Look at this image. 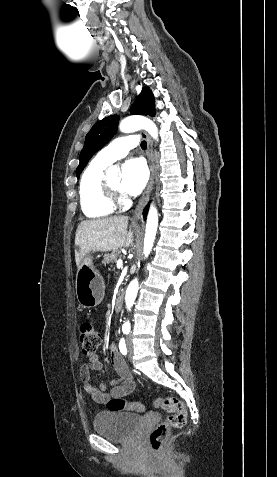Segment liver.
Here are the masks:
<instances>
[{"label": "liver", "mask_w": 277, "mask_h": 477, "mask_svg": "<svg viewBox=\"0 0 277 477\" xmlns=\"http://www.w3.org/2000/svg\"><path fill=\"white\" fill-rule=\"evenodd\" d=\"M127 216L82 221L76 230L75 261L79 268L83 258L90 252L115 251L121 247H129L133 242V232L127 231Z\"/></svg>", "instance_id": "liver-1"}]
</instances>
